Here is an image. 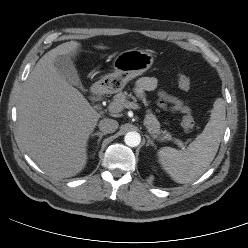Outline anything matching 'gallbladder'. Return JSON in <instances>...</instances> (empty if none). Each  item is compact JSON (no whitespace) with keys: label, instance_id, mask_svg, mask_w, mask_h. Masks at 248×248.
<instances>
[{"label":"gallbladder","instance_id":"bac80fb5","mask_svg":"<svg viewBox=\"0 0 248 248\" xmlns=\"http://www.w3.org/2000/svg\"><path fill=\"white\" fill-rule=\"evenodd\" d=\"M55 67L58 73L70 84L79 87L81 90L85 91L83 88L77 70L72 60L66 56H59L56 58Z\"/></svg>","mask_w":248,"mask_h":248}]
</instances>
